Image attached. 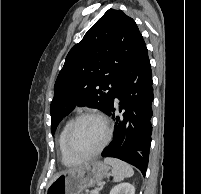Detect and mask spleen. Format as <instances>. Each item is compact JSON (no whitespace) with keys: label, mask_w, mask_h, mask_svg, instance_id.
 <instances>
[{"label":"spleen","mask_w":201,"mask_h":194,"mask_svg":"<svg viewBox=\"0 0 201 194\" xmlns=\"http://www.w3.org/2000/svg\"><path fill=\"white\" fill-rule=\"evenodd\" d=\"M104 163L112 166L113 182H119L134 175L132 167L115 158H105Z\"/></svg>","instance_id":"obj_1"}]
</instances>
